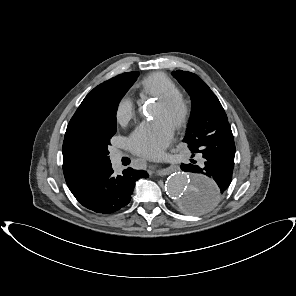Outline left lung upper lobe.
I'll return each mask as SVG.
<instances>
[{"label":"left lung upper lobe","instance_id":"1","mask_svg":"<svg viewBox=\"0 0 296 296\" xmlns=\"http://www.w3.org/2000/svg\"><path fill=\"white\" fill-rule=\"evenodd\" d=\"M172 75L189 93L192 101L183 142L188 144L192 153H202L206 148L208 136L229 124L226 113L215 94L197 75L182 70L173 71ZM192 204L193 200H189L182 208L189 211Z\"/></svg>","mask_w":296,"mask_h":296}]
</instances>
